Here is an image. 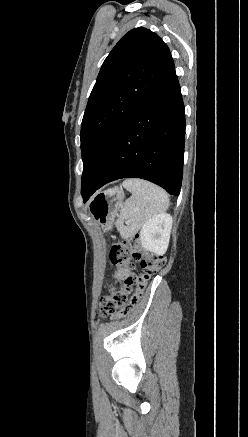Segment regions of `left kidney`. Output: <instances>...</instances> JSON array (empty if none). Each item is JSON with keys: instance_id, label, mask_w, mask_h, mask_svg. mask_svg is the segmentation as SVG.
I'll return each mask as SVG.
<instances>
[{"instance_id": "left-kidney-1", "label": "left kidney", "mask_w": 248, "mask_h": 437, "mask_svg": "<svg viewBox=\"0 0 248 437\" xmlns=\"http://www.w3.org/2000/svg\"><path fill=\"white\" fill-rule=\"evenodd\" d=\"M172 228V216L161 213L146 222L140 232L142 247L157 255L167 251Z\"/></svg>"}]
</instances>
